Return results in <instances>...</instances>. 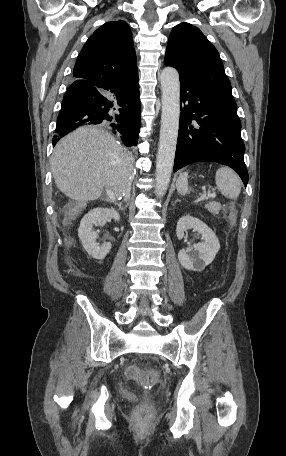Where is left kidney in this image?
Returning a JSON list of instances; mask_svg holds the SVG:
<instances>
[{"label": "left kidney", "mask_w": 286, "mask_h": 456, "mask_svg": "<svg viewBox=\"0 0 286 456\" xmlns=\"http://www.w3.org/2000/svg\"><path fill=\"white\" fill-rule=\"evenodd\" d=\"M188 229H193L201 234L203 242L194 244L192 247L186 249H181L178 253V259L185 269L201 271L212 263L220 249V243L215 233L204 222L190 215L181 217L177 222L176 235L179 240L184 237V233ZM193 249L199 251L197 258H192L189 255V252Z\"/></svg>", "instance_id": "left-kidney-1"}]
</instances>
